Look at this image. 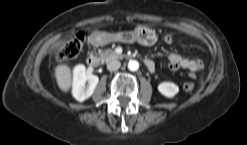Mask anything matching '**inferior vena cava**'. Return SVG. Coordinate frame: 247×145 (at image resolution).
<instances>
[{
    "instance_id": "obj_1",
    "label": "inferior vena cava",
    "mask_w": 247,
    "mask_h": 145,
    "mask_svg": "<svg viewBox=\"0 0 247 145\" xmlns=\"http://www.w3.org/2000/svg\"><path fill=\"white\" fill-rule=\"evenodd\" d=\"M121 63L120 61L116 60V59H112L107 63V69L109 71H116L120 68Z\"/></svg>"
}]
</instances>
